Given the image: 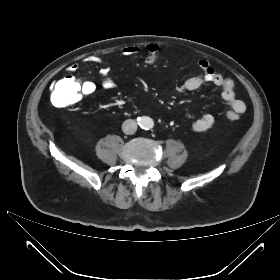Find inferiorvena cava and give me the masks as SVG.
I'll return each mask as SVG.
<instances>
[{
  "label": "inferior vena cava",
  "instance_id": "obj_1",
  "mask_svg": "<svg viewBox=\"0 0 280 280\" xmlns=\"http://www.w3.org/2000/svg\"><path fill=\"white\" fill-rule=\"evenodd\" d=\"M122 130L127 135H132L137 130V123L133 119L125 120L122 124Z\"/></svg>",
  "mask_w": 280,
  "mask_h": 280
}]
</instances>
